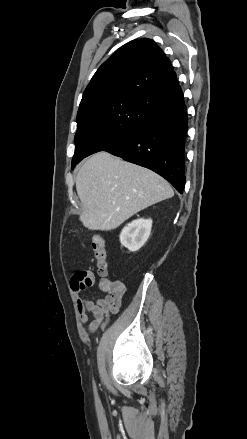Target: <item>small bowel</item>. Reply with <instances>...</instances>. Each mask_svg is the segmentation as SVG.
I'll use <instances>...</instances> for the list:
<instances>
[{"mask_svg":"<svg viewBox=\"0 0 247 439\" xmlns=\"http://www.w3.org/2000/svg\"><path fill=\"white\" fill-rule=\"evenodd\" d=\"M95 282V276L90 271H80L75 273L70 281V287L76 300V307L80 321L87 323L88 313L93 319L89 323V330L95 332L106 326L110 316L117 314L121 307V300L125 293V286L121 281L103 279L100 283L101 290L105 292L103 298L87 297L82 298L80 294L84 289L90 287Z\"/></svg>","mask_w":247,"mask_h":439,"instance_id":"small-bowel-1","label":"small bowel"}]
</instances>
